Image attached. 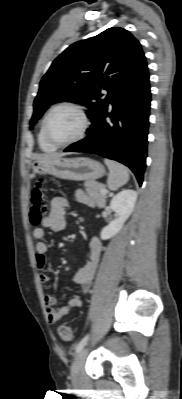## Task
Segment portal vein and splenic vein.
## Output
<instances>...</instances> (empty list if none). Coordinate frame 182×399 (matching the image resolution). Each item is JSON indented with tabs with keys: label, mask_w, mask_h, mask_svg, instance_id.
<instances>
[{
	"label": "portal vein and splenic vein",
	"mask_w": 182,
	"mask_h": 399,
	"mask_svg": "<svg viewBox=\"0 0 182 399\" xmlns=\"http://www.w3.org/2000/svg\"><path fill=\"white\" fill-rule=\"evenodd\" d=\"M104 193L107 194V190H105Z\"/></svg>",
	"instance_id": "obj_1"
}]
</instances>
